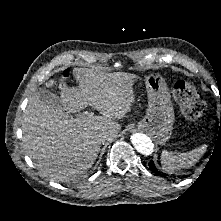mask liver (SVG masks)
<instances>
[{
	"mask_svg": "<svg viewBox=\"0 0 221 221\" xmlns=\"http://www.w3.org/2000/svg\"><path fill=\"white\" fill-rule=\"evenodd\" d=\"M74 77L79 88L63 87V109L49 107L36 93L30 96L23 114V143L36 167L56 182L72 181L87 172L95 162L101 144L117 136L121 125L115 122L130 111L134 103L133 84L139 79L130 73H105L77 68ZM57 83L50 80L46 86ZM102 116L77 115L87 107ZM110 137L104 139L102 133Z\"/></svg>",
	"mask_w": 221,
	"mask_h": 221,
	"instance_id": "1",
	"label": "liver"
}]
</instances>
